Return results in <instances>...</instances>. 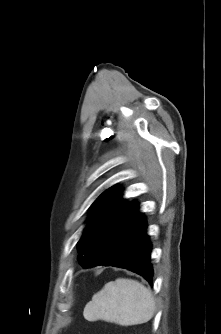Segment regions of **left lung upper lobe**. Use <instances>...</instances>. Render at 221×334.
I'll use <instances>...</instances> for the list:
<instances>
[{
    "mask_svg": "<svg viewBox=\"0 0 221 334\" xmlns=\"http://www.w3.org/2000/svg\"><path fill=\"white\" fill-rule=\"evenodd\" d=\"M127 203L121 198V191L116 187L104 191L92 204L91 223L78 242V261L84 268L94 261V250L106 230L123 212Z\"/></svg>",
    "mask_w": 221,
    "mask_h": 334,
    "instance_id": "obj_1",
    "label": "left lung upper lobe"
}]
</instances>
